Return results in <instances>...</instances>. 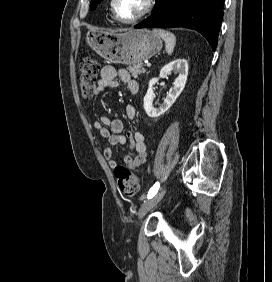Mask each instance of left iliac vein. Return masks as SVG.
I'll use <instances>...</instances> for the list:
<instances>
[{"instance_id":"left-iliac-vein-1","label":"left iliac vein","mask_w":272,"mask_h":282,"mask_svg":"<svg viewBox=\"0 0 272 282\" xmlns=\"http://www.w3.org/2000/svg\"><path fill=\"white\" fill-rule=\"evenodd\" d=\"M166 194V189L161 190L158 192L155 196H153L151 199L146 201L139 209L138 212V220L139 222L142 220V218L153 208L155 207L161 199Z\"/></svg>"}]
</instances>
